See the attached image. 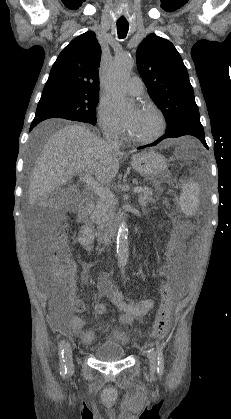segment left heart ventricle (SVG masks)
<instances>
[{"label": "left heart ventricle", "mask_w": 231, "mask_h": 419, "mask_svg": "<svg viewBox=\"0 0 231 419\" xmlns=\"http://www.w3.org/2000/svg\"><path fill=\"white\" fill-rule=\"evenodd\" d=\"M130 120L129 131L136 137H149L155 134L159 129V121L157 116L149 110H132L127 115Z\"/></svg>", "instance_id": "b2bd125f"}]
</instances>
